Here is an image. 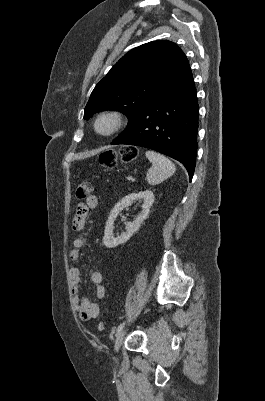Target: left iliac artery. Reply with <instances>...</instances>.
<instances>
[{"label":"left iliac artery","mask_w":265,"mask_h":401,"mask_svg":"<svg viewBox=\"0 0 265 401\" xmlns=\"http://www.w3.org/2000/svg\"><path fill=\"white\" fill-rule=\"evenodd\" d=\"M124 326H125V322L120 323V324L118 325V327H117L116 332L119 333L120 331H122V329L124 328Z\"/></svg>","instance_id":"44dca946"}]
</instances>
